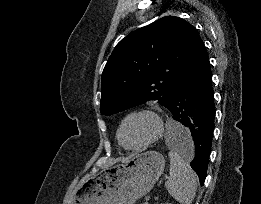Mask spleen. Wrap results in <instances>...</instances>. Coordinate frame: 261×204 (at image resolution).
Segmentation results:
<instances>
[{"label": "spleen", "instance_id": "1", "mask_svg": "<svg viewBox=\"0 0 261 204\" xmlns=\"http://www.w3.org/2000/svg\"><path fill=\"white\" fill-rule=\"evenodd\" d=\"M170 132L184 133L186 128L179 123L168 126ZM170 177L165 182L169 194L181 204H191L197 189L196 175L189 163L174 149L169 152Z\"/></svg>", "mask_w": 261, "mask_h": 204}]
</instances>
